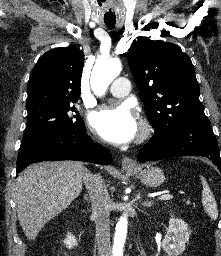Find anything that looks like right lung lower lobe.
<instances>
[{
  "mask_svg": "<svg viewBox=\"0 0 221 256\" xmlns=\"http://www.w3.org/2000/svg\"><path fill=\"white\" fill-rule=\"evenodd\" d=\"M78 160L108 165L112 156L103 146L93 143L84 130H63L41 135L21 145L17 172L40 161Z\"/></svg>",
  "mask_w": 221,
  "mask_h": 256,
  "instance_id": "1",
  "label": "right lung lower lobe"
}]
</instances>
